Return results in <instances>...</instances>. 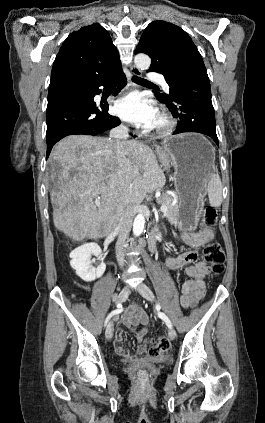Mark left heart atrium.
<instances>
[{"instance_id": "left-heart-atrium-1", "label": "left heart atrium", "mask_w": 265, "mask_h": 423, "mask_svg": "<svg viewBox=\"0 0 265 423\" xmlns=\"http://www.w3.org/2000/svg\"><path fill=\"white\" fill-rule=\"evenodd\" d=\"M114 109L123 120L145 128H152L158 116L155 105L139 93H131L120 98Z\"/></svg>"}]
</instances>
